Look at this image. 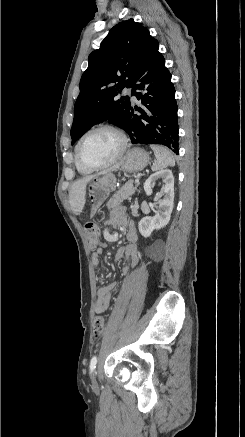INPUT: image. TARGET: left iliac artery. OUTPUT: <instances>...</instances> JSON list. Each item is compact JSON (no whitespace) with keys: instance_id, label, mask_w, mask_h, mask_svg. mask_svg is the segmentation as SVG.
<instances>
[{"instance_id":"obj_1","label":"left iliac artery","mask_w":245,"mask_h":437,"mask_svg":"<svg viewBox=\"0 0 245 437\" xmlns=\"http://www.w3.org/2000/svg\"><path fill=\"white\" fill-rule=\"evenodd\" d=\"M96 365H97V357H96V356H93V357L91 358V361H90V373H91V374L94 372V370H95V368H96Z\"/></svg>"}]
</instances>
